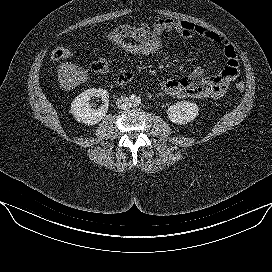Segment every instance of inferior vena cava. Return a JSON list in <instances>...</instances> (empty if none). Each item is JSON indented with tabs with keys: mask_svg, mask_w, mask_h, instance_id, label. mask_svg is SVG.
Listing matches in <instances>:
<instances>
[{
	"mask_svg": "<svg viewBox=\"0 0 272 272\" xmlns=\"http://www.w3.org/2000/svg\"><path fill=\"white\" fill-rule=\"evenodd\" d=\"M116 105L119 109L127 110L131 107V101L128 97L121 96L117 99Z\"/></svg>",
	"mask_w": 272,
	"mask_h": 272,
	"instance_id": "602c4592",
	"label": "inferior vena cava"
}]
</instances>
